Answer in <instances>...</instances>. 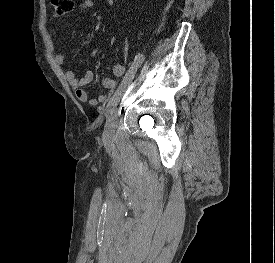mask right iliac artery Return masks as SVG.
<instances>
[{
    "instance_id": "right-iliac-artery-1",
    "label": "right iliac artery",
    "mask_w": 275,
    "mask_h": 263,
    "mask_svg": "<svg viewBox=\"0 0 275 263\" xmlns=\"http://www.w3.org/2000/svg\"><path fill=\"white\" fill-rule=\"evenodd\" d=\"M143 61H144V56L142 54H138L135 56L134 62L130 66L126 75L124 76L121 84L119 85L118 89L116 90L114 95L109 100L108 105H107V111H109V109L112 106H114V104L117 102V100L121 97V95L124 92V90L126 89V87L133 80L138 67L142 64Z\"/></svg>"
}]
</instances>
